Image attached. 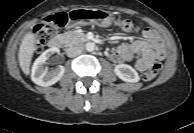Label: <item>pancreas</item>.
I'll return each instance as SVG.
<instances>
[{
    "mask_svg": "<svg viewBox=\"0 0 194 133\" xmlns=\"http://www.w3.org/2000/svg\"><path fill=\"white\" fill-rule=\"evenodd\" d=\"M63 38L65 39L66 45H77L81 42L86 41V36L84 33H79L76 31H69L62 34Z\"/></svg>",
    "mask_w": 194,
    "mask_h": 133,
    "instance_id": "pancreas-1",
    "label": "pancreas"
}]
</instances>
